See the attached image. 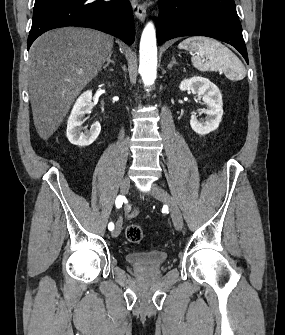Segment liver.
Returning a JSON list of instances; mask_svg holds the SVG:
<instances>
[{"instance_id": "obj_1", "label": "liver", "mask_w": 285, "mask_h": 335, "mask_svg": "<svg viewBox=\"0 0 285 335\" xmlns=\"http://www.w3.org/2000/svg\"><path fill=\"white\" fill-rule=\"evenodd\" d=\"M112 48L111 36L90 28H60L37 38L27 74L33 122L42 140L56 132Z\"/></svg>"}]
</instances>
